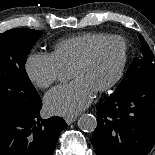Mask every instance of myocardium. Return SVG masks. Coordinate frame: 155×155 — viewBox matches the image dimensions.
Here are the masks:
<instances>
[{"label": "myocardium", "instance_id": "f54148a6", "mask_svg": "<svg viewBox=\"0 0 155 155\" xmlns=\"http://www.w3.org/2000/svg\"><path fill=\"white\" fill-rule=\"evenodd\" d=\"M109 41H118L121 43L122 45V60L121 63L119 65V68L115 74V76L106 84H104L103 86L99 87L96 92L97 93H101V92H105L111 88H113L114 86H116L120 80L122 79L125 69H126V65L128 62V44L127 41L125 40L124 37L120 36V35H115V34H109L104 36L103 38L99 39L98 41H96L95 43H93L89 49L84 53V55L77 60L70 69H75V68H80L85 66L86 64H88L91 59L93 58L94 54L96 53V51L98 50V48Z\"/></svg>", "mask_w": 155, "mask_h": 155}]
</instances>
